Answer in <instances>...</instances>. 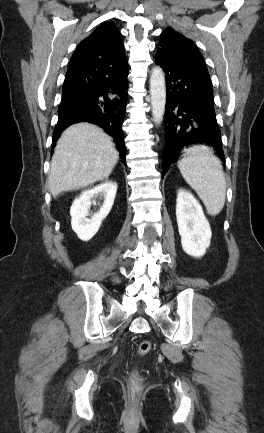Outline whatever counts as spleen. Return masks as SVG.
I'll return each mask as SVG.
<instances>
[{
	"mask_svg": "<svg viewBox=\"0 0 264 433\" xmlns=\"http://www.w3.org/2000/svg\"><path fill=\"white\" fill-rule=\"evenodd\" d=\"M178 168L203 201L208 214H219L225 204L227 185L221 161L211 149L204 145L186 149Z\"/></svg>",
	"mask_w": 264,
	"mask_h": 433,
	"instance_id": "spleen-1",
	"label": "spleen"
}]
</instances>
